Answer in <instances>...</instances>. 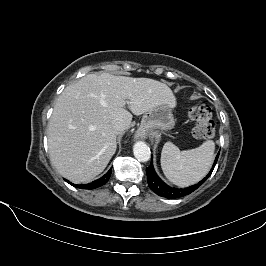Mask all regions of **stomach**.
Returning <instances> with one entry per match:
<instances>
[{"label": "stomach", "mask_w": 266, "mask_h": 266, "mask_svg": "<svg viewBox=\"0 0 266 266\" xmlns=\"http://www.w3.org/2000/svg\"><path fill=\"white\" fill-rule=\"evenodd\" d=\"M172 108L168 104H161L143 115L138 134L153 130L166 131L174 127L175 121Z\"/></svg>", "instance_id": "1"}]
</instances>
